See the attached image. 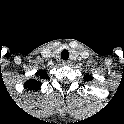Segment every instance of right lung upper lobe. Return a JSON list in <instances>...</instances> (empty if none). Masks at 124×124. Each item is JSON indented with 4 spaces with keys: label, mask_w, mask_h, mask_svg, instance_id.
Segmentation results:
<instances>
[{
    "label": "right lung upper lobe",
    "mask_w": 124,
    "mask_h": 124,
    "mask_svg": "<svg viewBox=\"0 0 124 124\" xmlns=\"http://www.w3.org/2000/svg\"><path fill=\"white\" fill-rule=\"evenodd\" d=\"M35 75L40 79H49L47 72L44 70H39ZM41 85L42 83L36 79H30L24 84L25 88H28L29 90H39Z\"/></svg>",
    "instance_id": "cb5924a9"
}]
</instances>
